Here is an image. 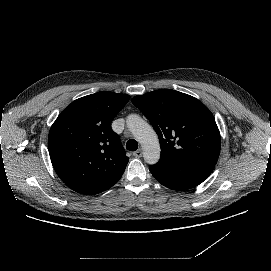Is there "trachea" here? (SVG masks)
Listing matches in <instances>:
<instances>
[{"label":"trachea","mask_w":271,"mask_h":271,"mask_svg":"<svg viewBox=\"0 0 271 271\" xmlns=\"http://www.w3.org/2000/svg\"><path fill=\"white\" fill-rule=\"evenodd\" d=\"M126 149L129 151H136L138 149V143L136 140L134 139H130L127 143H126Z\"/></svg>","instance_id":"3493384b"}]
</instances>
